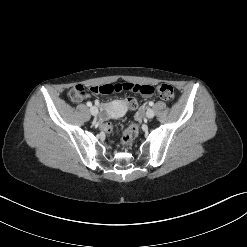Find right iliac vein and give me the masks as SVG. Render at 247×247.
<instances>
[{
  "label": "right iliac vein",
  "instance_id": "right-iliac-vein-1",
  "mask_svg": "<svg viewBox=\"0 0 247 247\" xmlns=\"http://www.w3.org/2000/svg\"><path fill=\"white\" fill-rule=\"evenodd\" d=\"M90 113L93 115V116H96L98 114V108L96 106H92L90 108Z\"/></svg>",
  "mask_w": 247,
  "mask_h": 247
}]
</instances>
